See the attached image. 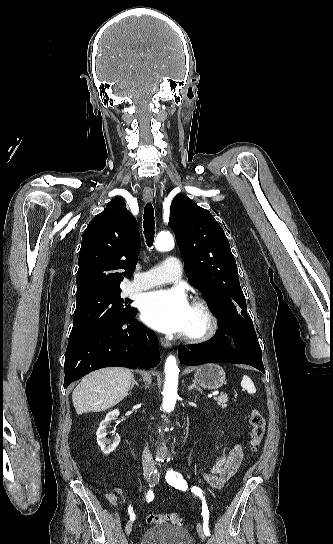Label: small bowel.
I'll use <instances>...</instances> for the list:
<instances>
[{
    "mask_svg": "<svg viewBox=\"0 0 333 544\" xmlns=\"http://www.w3.org/2000/svg\"><path fill=\"white\" fill-rule=\"evenodd\" d=\"M242 459V449L234 445L227 453L219 455L214 463L204 474L205 480L213 488L220 489L224 483L236 472ZM118 495L124 496L125 492L119 487L104 494L105 499L113 506L118 507Z\"/></svg>",
    "mask_w": 333,
    "mask_h": 544,
    "instance_id": "small-bowel-1",
    "label": "small bowel"
}]
</instances>
